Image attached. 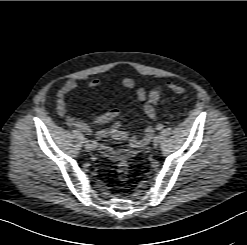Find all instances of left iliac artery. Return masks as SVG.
I'll use <instances>...</instances> for the list:
<instances>
[{"label":"left iliac artery","mask_w":247,"mask_h":245,"mask_svg":"<svg viewBox=\"0 0 247 245\" xmlns=\"http://www.w3.org/2000/svg\"><path fill=\"white\" fill-rule=\"evenodd\" d=\"M162 128H163L162 124H158L157 127H156L157 130H161Z\"/></svg>","instance_id":"left-iliac-artery-1"}]
</instances>
